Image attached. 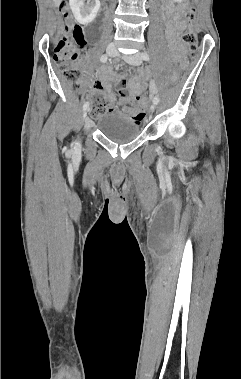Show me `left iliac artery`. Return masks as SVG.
I'll list each match as a JSON object with an SVG mask.
<instances>
[{"label":"left iliac artery","instance_id":"obj_1","mask_svg":"<svg viewBox=\"0 0 241 379\" xmlns=\"http://www.w3.org/2000/svg\"><path fill=\"white\" fill-rule=\"evenodd\" d=\"M141 57H142V59L145 60V61H148V60L150 59V57H149V55H148L147 52H142V53H141ZM158 102H159V98H158V96H155V97L153 98V103L157 104Z\"/></svg>","mask_w":241,"mask_h":379}]
</instances>
